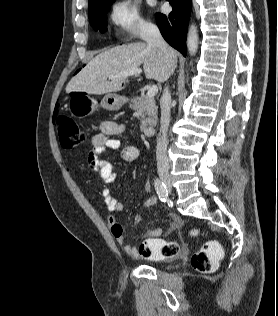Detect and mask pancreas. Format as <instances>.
Returning a JSON list of instances; mask_svg holds the SVG:
<instances>
[{"label": "pancreas", "instance_id": "obj_1", "mask_svg": "<svg viewBox=\"0 0 278 316\" xmlns=\"http://www.w3.org/2000/svg\"><path fill=\"white\" fill-rule=\"evenodd\" d=\"M130 108L134 111H143L140 124L141 131H144L147 126L156 125L158 107L153 97L147 95L137 96L131 100Z\"/></svg>", "mask_w": 278, "mask_h": 316}]
</instances>
